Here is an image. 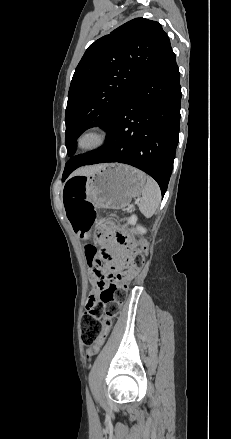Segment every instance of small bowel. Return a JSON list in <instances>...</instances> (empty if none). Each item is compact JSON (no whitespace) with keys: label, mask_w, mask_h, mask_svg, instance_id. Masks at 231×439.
<instances>
[{"label":"small bowel","mask_w":231,"mask_h":439,"mask_svg":"<svg viewBox=\"0 0 231 439\" xmlns=\"http://www.w3.org/2000/svg\"><path fill=\"white\" fill-rule=\"evenodd\" d=\"M101 233L103 235H106V239L108 241H111V239H112V231L109 228L101 230ZM77 234L83 240H87L88 239V234L85 233V232L78 231ZM93 247L94 246H92V245H86L85 251L87 249L93 248ZM116 252H117V255H118L120 261H122V259L124 258V251L121 248H117ZM108 269H109L108 264L105 263L103 260H97V259L94 260L92 271H91V276H90V280H91V283H92V290H91L90 295H89V297H88V299L86 301V307L87 308L98 301L99 295H100L101 291L105 287V283H104V281H102L100 279L99 273H103V272L107 271ZM98 345L99 344L95 345V347L97 349H98Z\"/></svg>","instance_id":"obj_1"}]
</instances>
